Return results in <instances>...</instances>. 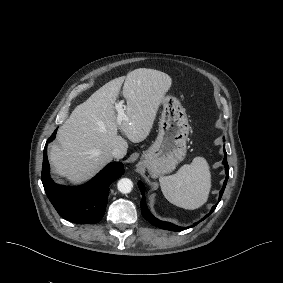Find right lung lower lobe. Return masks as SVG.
<instances>
[{"instance_id":"1","label":"right lung lower lobe","mask_w":283,"mask_h":283,"mask_svg":"<svg viewBox=\"0 0 283 283\" xmlns=\"http://www.w3.org/2000/svg\"><path fill=\"white\" fill-rule=\"evenodd\" d=\"M57 129L47 140V144L56 136ZM47 144L44 148L42 183L45 192L64 219L79 223L91 224L100 221L105 213L109 185L124 173L123 164H108L88 183L78 187H67L55 184L49 174Z\"/></svg>"}]
</instances>
